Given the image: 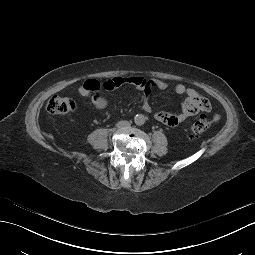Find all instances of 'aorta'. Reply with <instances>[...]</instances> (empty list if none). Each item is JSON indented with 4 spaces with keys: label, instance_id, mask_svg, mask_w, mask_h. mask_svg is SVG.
I'll use <instances>...</instances> for the list:
<instances>
[{
    "label": "aorta",
    "instance_id": "1",
    "mask_svg": "<svg viewBox=\"0 0 255 255\" xmlns=\"http://www.w3.org/2000/svg\"><path fill=\"white\" fill-rule=\"evenodd\" d=\"M134 122H135V124H137V125H143L144 122H145V117H144L142 114H137V115L134 117Z\"/></svg>",
    "mask_w": 255,
    "mask_h": 255
}]
</instances>
